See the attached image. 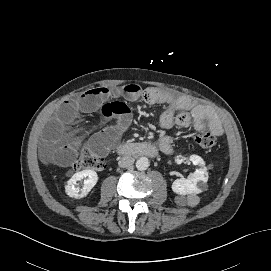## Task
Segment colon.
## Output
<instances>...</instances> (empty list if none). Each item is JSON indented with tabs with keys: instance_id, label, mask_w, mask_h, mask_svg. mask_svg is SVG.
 I'll return each instance as SVG.
<instances>
[{
	"instance_id": "colon-1",
	"label": "colon",
	"mask_w": 271,
	"mask_h": 271,
	"mask_svg": "<svg viewBox=\"0 0 271 271\" xmlns=\"http://www.w3.org/2000/svg\"><path fill=\"white\" fill-rule=\"evenodd\" d=\"M194 140L203 149H211L217 143L215 134L204 129L196 133ZM73 168L77 171L84 169L102 170L104 168V160L90 150H84L74 162Z\"/></svg>"
}]
</instances>
